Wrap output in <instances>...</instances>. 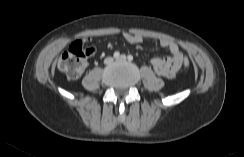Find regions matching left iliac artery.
<instances>
[{
  "mask_svg": "<svg viewBox=\"0 0 244 157\" xmlns=\"http://www.w3.org/2000/svg\"><path fill=\"white\" fill-rule=\"evenodd\" d=\"M128 60L132 61L133 60V56L132 55H128Z\"/></svg>",
  "mask_w": 244,
  "mask_h": 157,
  "instance_id": "44dca946",
  "label": "left iliac artery"
}]
</instances>
